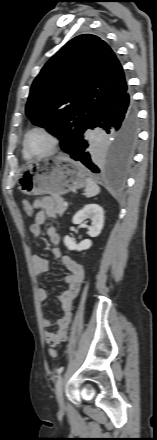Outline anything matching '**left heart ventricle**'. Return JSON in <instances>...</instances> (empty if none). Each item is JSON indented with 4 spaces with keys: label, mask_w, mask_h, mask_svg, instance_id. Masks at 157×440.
Listing matches in <instances>:
<instances>
[{
    "label": "left heart ventricle",
    "mask_w": 157,
    "mask_h": 440,
    "mask_svg": "<svg viewBox=\"0 0 157 440\" xmlns=\"http://www.w3.org/2000/svg\"><path fill=\"white\" fill-rule=\"evenodd\" d=\"M50 145V139L42 132L36 131L28 136L27 147L29 152L33 155L46 153Z\"/></svg>",
    "instance_id": "1"
}]
</instances>
